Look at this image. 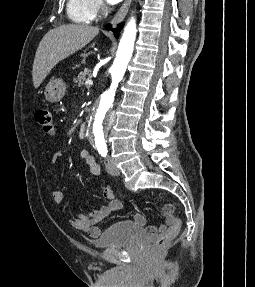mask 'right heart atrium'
Returning <instances> with one entry per match:
<instances>
[{
  "label": "right heart atrium",
  "instance_id": "d8ad5b80",
  "mask_svg": "<svg viewBox=\"0 0 255 287\" xmlns=\"http://www.w3.org/2000/svg\"><path fill=\"white\" fill-rule=\"evenodd\" d=\"M146 33H152V32H146ZM146 39H152V38H146Z\"/></svg>",
  "mask_w": 255,
  "mask_h": 287
}]
</instances>
